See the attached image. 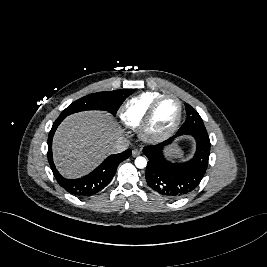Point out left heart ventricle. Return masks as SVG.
I'll list each match as a JSON object with an SVG mask.
<instances>
[{"mask_svg":"<svg viewBox=\"0 0 267 267\" xmlns=\"http://www.w3.org/2000/svg\"><path fill=\"white\" fill-rule=\"evenodd\" d=\"M178 104L175 99L167 98L157 107L150 124V131L161 134L168 131L176 121Z\"/></svg>","mask_w":267,"mask_h":267,"instance_id":"b2bd125f","label":"left heart ventricle"}]
</instances>
